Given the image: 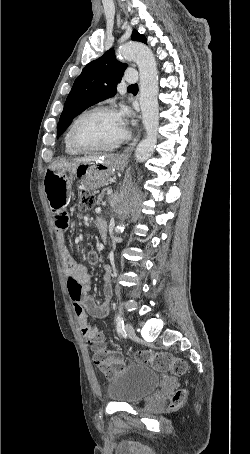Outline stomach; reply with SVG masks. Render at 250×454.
<instances>
[{
  "mask_svg": "<svg viewBox=\"0 0 250 454\" xmlns=\"http://www.w3.org/2000/svg\"><path fill=\"white\" fill-rule=\"evenodd\" d=\"M126 165L127 160L117 155L89 163H79L76 166H69L66 163H53L45 171V176H76V179L79 178L85 188L96 189L106 185L114 172L123 170Z\"/></svg>",
  "mask_w": 250,
  "mask_h": 454,
  "instance_id": "0dacf381",
  "label": "stomach"
}]
</instances>
